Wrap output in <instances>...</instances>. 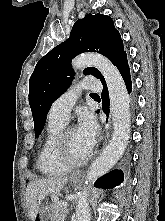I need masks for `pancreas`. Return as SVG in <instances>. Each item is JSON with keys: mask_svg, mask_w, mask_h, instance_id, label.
Returning <instances> with one entry per match:
<instances>
[{"mask_svg": "<svg viewBox=\"0 0 165 221\" xmlns=\"http://www.w3.org/2000/svg\"><path fill=\"white\" fill-rule=\"evenodd\" d=\"M62 201L55 202L53 204L54 214L57 216V221H64L67 214V207L63 206Z\"/></svg>", "mask_w": 165, "mask_h": 221, "instance_id": "pancreas-1", "label": "pancreas"}]
</instances>
